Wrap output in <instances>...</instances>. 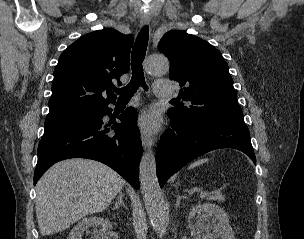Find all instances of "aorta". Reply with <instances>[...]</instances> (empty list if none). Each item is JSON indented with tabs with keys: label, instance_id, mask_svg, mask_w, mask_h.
Here are the masks:
<instances>
[{
	"label": "aorta",
	"instance_id": "1",
	"mask_svg": "<svg viewBox=\"0 0 304 239\" xmlns=\"http://www.w3.org/2000/svg\"><path fill=\"white\" fill-rule=\"evenodd\" d=\"M169 61L162 55H151L146 59V71L150 75H163L169 71ZM141 193L151 224L159 237L166 233L168 213L156 174L154 152L143 153L139 165Z\"/></svg>",
	"mask_w": 304,
	"mask_h": 239
}]
</instances>
